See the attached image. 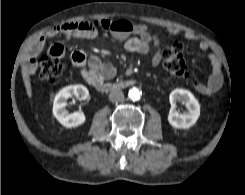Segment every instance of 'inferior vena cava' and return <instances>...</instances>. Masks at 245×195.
Returning a JSON list of instances; mask_svg holds the SVG:
<instances>
[{
    "label": "inferior vena cava",
    "mask_w": 245,
    "mask_h": 195,
    "mask_svg": "<svg viewBox=\"0 0 245 195\" xmlns=\"http://www.w3.org/2000/svg\"><path fill=\"white\" fill-rule=\"evenodd\" d=\"M111 102H119L124 100V93L121 90H112L109 94Z\"/></svg>",
    "instance_id": "obj_1"
}]
</instances>
